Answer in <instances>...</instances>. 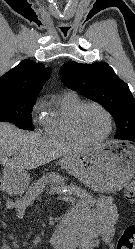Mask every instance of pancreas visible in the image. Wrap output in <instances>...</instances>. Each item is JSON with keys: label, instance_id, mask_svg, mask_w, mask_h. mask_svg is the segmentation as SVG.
Masks as SVG:
<instances>
[{"label": "pancreas", "instance_id": "obj_1", "mask_svg": "<svg viewBox=\"0 0 135 249\" xmlns=\"http://www.w3.org/2000/svg\"><path fill=\"white\" fill-rule=\"evenodd\" d=\"M64 188H68L72 193L76 194L80 198L89 199L90 195L87 193L84 189L77 187V186H67L64 183H58L51 185L50 188L47 189V193L54 194L58 193L60 194Z\"/></svg>", "mask_w": 135, "mask_h": 249}]
</instances>
